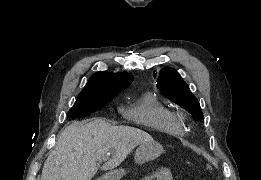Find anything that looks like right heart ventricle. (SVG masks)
<instances>
[{
	"label": "right heart ventricle",
	"instance_id": "1",
	"mask_svg": "<svg viewBox=\"0 0 261 180\" xmlns=\"http://www.w3.org/2000/svg\"><path fill=\"white\" fill-rule=\"evenodd\" d=\"M121 121H139L142 131L150 133H164V138L155 139V142H178L183 140L186 129L172 109L159 99L157 94L147 92L138 99L126 102L121 106Z\"/></svg>",
	"mask_w": 261,
	"mask_h": 180
}]
</instances>
